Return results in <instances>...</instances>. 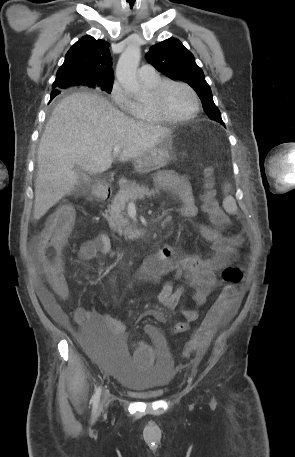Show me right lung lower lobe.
I'll use <instances>...</instances> for the list:
<instances>
[{
	"label": "right lung lower lobe",
	"mask_w": 295,
	"mask_h": 457,
	"mask_svg": "<svg viewBox=\"0 0 295 457\" xmlns=\"http://www.w3.org/2000/svg\"><path fill=\"white\" fill-rule=\"evenodd\" d=\"M60 92L59 91H52L51 93V99L52 100L55 96H57Z\"/></svg>",
	"instance_id": "right-lung-lower-lobe-1"
}]
</instances>
